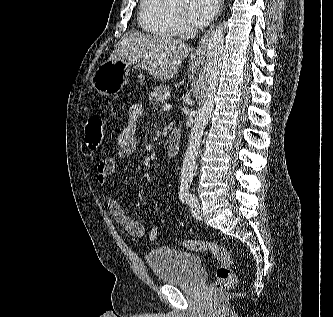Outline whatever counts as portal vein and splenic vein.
Returning a JSON list of instances; mask_svg holds the SVG:
<instances>
[{
  "label": "portal vein and splenic vein",
  "mask_w": 333,
  "mask_h": 317,
  "mask_svg": "<svg viewBox=\"0 0 333 317\" xmlns=\"http://www.w3.org/2000/svg\"><path fill=\"white\" fill-rule=\"evenodd\" d=\"M171 104L170 103H165L164 105H163V109L164 110H170L171 109Z\"/></svg>",
  "instance_id": "portal-vein-and-splenic-vein-1"
}]
</instances>
